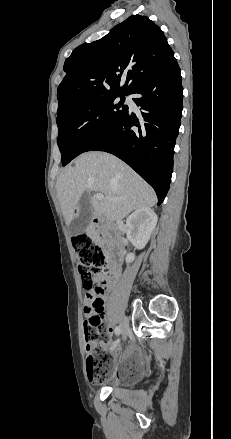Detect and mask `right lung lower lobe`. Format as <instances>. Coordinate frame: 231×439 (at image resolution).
Masks as SVG:
<instances>
[{
    "instance_id": "98d812e1",
    "label": "right lung lower lobe",
    "mask_w": 231,
    "mask_h": 439,
    "mask_svg": "<svg viewBox=\"0 0 231 439\" xmlns=\"http://www.w3.org/2000/svg\"><path fill=\"white\" fill-rule=\"evenodd\" d=\"M175 58L139 84L131 94L141 115L131 109L85 150L111 153L132 167L155 190L160 205L169 190L175 140L183 109V87Z\"/></svg>"
}]
</instances>
